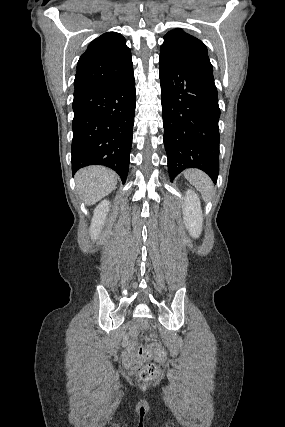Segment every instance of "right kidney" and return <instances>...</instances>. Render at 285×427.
Returning <instances> with one entry per match:
<instances>
[{
	"label": "right kidney",
	"mask_w": 285,
	"mask_h": 427,
	"mask_svg": "<svg viewBox=\"0 0 285 427\" xmlns=\"http://www.w3.org/2000/svg\"><path fill=\"white\" fill-rule=\"evenodd\" d=\"M110 202L104 200L94 209V215L91 222L90 234L93 239H97L104 225Z\"/></svg>",
	"instance_id": "ca27d5eb"
}]
</instances>
